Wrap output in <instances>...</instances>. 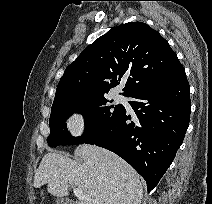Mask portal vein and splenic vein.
Here are the masks:
<instances>
[{"instance_id": "obj_1", "label": "portal vein and splenic vein", "mask_w": 212, "mask_h": 204, "mask_svg": "<svg viewBox=\"0 0 212 204\" xmlns=\"http://www.w3.org/2000/svg\"><path fill=\"white\" fill-rule=\"evenodd\" d=\"M73 192H74V195L76 197H78L79 199H83L84 198V194H83L82 189H80V188H74L73 189Z\"/></svg>"}]
</instances>
